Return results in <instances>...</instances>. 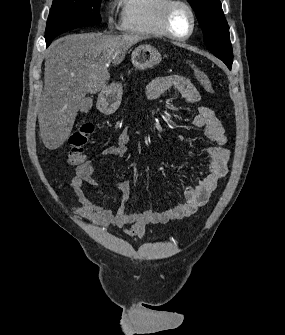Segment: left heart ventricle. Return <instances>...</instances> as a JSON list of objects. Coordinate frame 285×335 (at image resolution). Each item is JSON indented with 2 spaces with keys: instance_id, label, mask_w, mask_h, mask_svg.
Masks as SVG:
<instances>
[{
  "instance_id": "b2bd125f",
  "label": "left heart ventricle",
  "mask_w": 285,
  "mask_h": 335,
  "mask_svg": "<svg viewBox=\"0 0 285 335\" xmlns=\"http://www.w3.org/2000/svg\"><path fill=\"white\" fill-rule=\"evenodd\" d=\"M184 18H185V16H184V14L182 12H180V11L177 12V14L175 16V23L177 25H181L183 23V21H184Z\"/></svg>"
}]
</instances>
